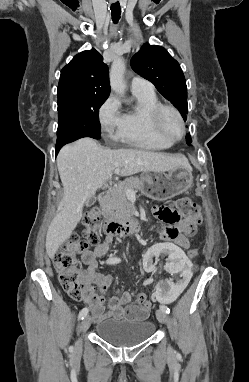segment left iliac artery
Listing matches in <instances>:
<instances>
[{
  "label": "left iliac artery",
  "instance_id": "obj_1",
  "mask_svg": "<svg viewBox=\"0 0 249 382\" xmlns=\"http://www.w3.org/2000/svg\"><path fill=\"white\" fill-rule=\"evenodd\" d=\"M160 309H161L162 311L166 312L167 314L170 313V309H169L168 307L164 306V305H161V306H160Z\"/></svg>",
  "mask_w": 249,
  "mask_h": 382
}]
</instances>
